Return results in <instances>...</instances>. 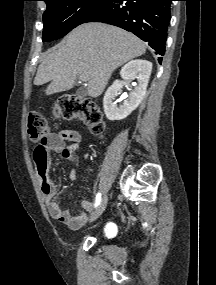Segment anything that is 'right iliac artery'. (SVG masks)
<instances>
[{"label":"right iliac artery","instance_id":"right-iliac-artery-1","mask_svg":"<svg viewBox=\"0 0 216 285\" xmlns=\"http://www.w3.org/2000/svg\"><path fill=\"white\" fill-rule=\"evenodd\" d=\"M101 201V193H97L94 206L97 207Z\"/></svg>","mask_w":216,"mask_h":285}]
</instances>
